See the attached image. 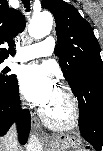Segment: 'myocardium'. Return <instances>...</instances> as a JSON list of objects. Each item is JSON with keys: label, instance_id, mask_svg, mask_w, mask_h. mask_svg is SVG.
<instances>
[{"label": "myocardium", "instance_id": "1", "mask_svg": "<svg viewBox=\"0 0 103 151\" xmlns=\"http://www.w3.org/2000/svg\"><path fill=\"white\" fill-rule=\"evenodd\" d=\"M58 89H60L67 98L69 105V116L65 121H55L48 116L45 110L40 113L41 119L46 126L54 130H70L73 129L79 121L80 110L78 105V100L72 91V89L65 84H60Z\"/></svg>", "mask_w": 103, "mask_h": 151}]
</instances>
